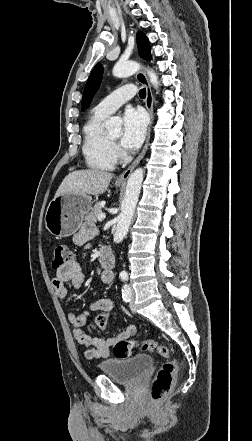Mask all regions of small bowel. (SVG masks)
I'll list each match as a JSON object with an SVG mask.
<instances>
[{
  "label": "small bowel",
  "mask_w": 252,
  "mask_h": 441,
  "mask_svg": "<svg viewBox=\"0 0 252 441\" xmlns=\"http://www.w3.org/2000/svg\"><path fill=\"white\" fill-rule=\"evenodd\" d=\"M96 233L97 230L95 227L85 225L74 235L73 241L76 245H84L93 239ZM101 281L105 285H110L113 281V273L111 271L103 270L101 273ZM68 283H70L76 290H81L83 287L84 274L80 264L76 260H72L58 269L52 280L53 287L60 300H66L68 297ZM108 303L113 304V301L109 298H103L90 304L89 308L81 313H76L75 311H69L67 313V319L74 327V337L80 344L86 346L84 354L88 359H102L109 357L117 342L128 339L136 331L135 327L130 325L114 337L107 339L87 335L83 330V326L86 323L90 311L97 312L103 309Z\"/></svg>",
  "instance_id": "obj_1"
}]
</instances>
